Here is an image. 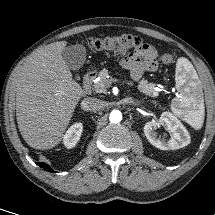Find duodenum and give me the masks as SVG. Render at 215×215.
I'll return each instance as SVG.
<instances>
[{
    "label": "duodenum",
    "instance_id": "1",
    "mask_svg": "<svg viewBox=\"0 0 215 215\" xmlns=\"http://www.w3.org/2000/svg\"><path fill=\"white\" fill-rule=\"evenodd\" d=\"M95 76H96V74L94 71H90V72L85 74V76L83 78V84H82L83 94L88 93V91L91 88V85L93 83Z\"/></svg>",
    "mask_w": 215,
    "mask_h": 215
}]
</instances>
